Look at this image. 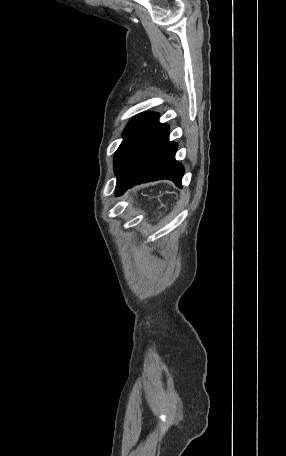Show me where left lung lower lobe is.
Returning <instances> with one entry per match:
<instances>
[{"label":"left lung lower lobe","instance_id":"1","mask_svg":"<svg viewBox=\"0 0 286 456\" xmlns=\"http://www.w3.org/2000/svg\"><path fill=\"white\" fill-rule=\"evenodd\" d=\"M177 144L169 142V126L155 120L129 147L117 170L116 195L142 182L170 179L182 188L183 166L175 160Z\"/></svg>","mask_w":286,"mask_h":456}]
</instances>
